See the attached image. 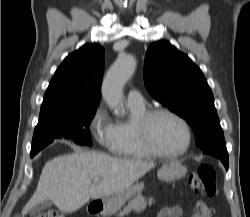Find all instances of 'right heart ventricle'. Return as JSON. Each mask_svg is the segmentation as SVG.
I'll return each mask as SVG.
<instances>
[{
	"label": "right heart ventricle",
	"instance_id": "1",
	"mask_svg": "<svg viewBox=\"0 0 250 217\" xmlns=\"http://www.w3.org/2000/svg\"><path fill=\"white\" fill-rule=\"evenodd\" d=\"M128 106L132 114V120L115 124L116 137L113 152L118 156L127 158L143 159L152 157L141 144L136 131V121L146 112V108L144 105Z\"/></svg>",
	"mask_w": 250,
	"mask_h": 217
}]
</instances>
